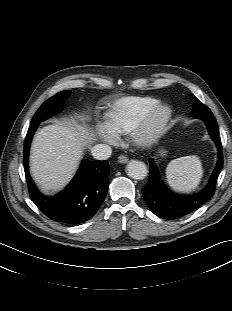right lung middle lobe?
Masks as SVG:
<instances>
[{"label": "right lung middle lobe", "instance_id": "obj_1", "mask_svg": "<svg viewBox=\"0 0 232 311\" xmlns=\"http://www.w3.org/2000/svg\"><path fill=\"white\" fill-rule=\"evenodd\" d=\"M70 94L71 90L62 91L45 101L35 113L31 125L39 124L61 111Z\"/></svg>", "mask_w": 232, "mask_h": 311}]
</instances>
